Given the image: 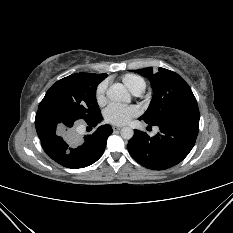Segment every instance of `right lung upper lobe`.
I'll return each mask as SVG.
<instances>
[{"label":"right lung upper lobe","instance_id":"1","mask_svg":"<svg viewBox=\"0 0 233 233\" xmlns=\"http://www.w3.org/2000/svg\"><path fill=\"white\" fill-rule=\"evenodd\" d=\"M91 76L99 83L107 77V74H91Z\"/></svg>","mask_w":233,"mask_h":233}]
</instances>
